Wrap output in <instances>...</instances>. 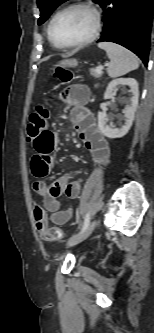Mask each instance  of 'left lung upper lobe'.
Returning a JSON list of instances; mask_svg holds the SVG:
<instances>
[{
    "label": "left lung upper lobe",
    "mask_w": 154,
    "mask_h": 333,
    "mask_svg": "<svg viewBox=\"0 0 154 333\" xmlns=\"http://www.w3.org/2000/svg\"><path fill=\"white\" fill-rule=\"evenodd\" d=\"M67 0H37V5L41 11L40 18L38 20V24L41 25L44 23L51 13L63 2ZM96 3H100L102 0H93Z\"/></svg>",
    "instance_id": "obj_1"
}]
</instances>
